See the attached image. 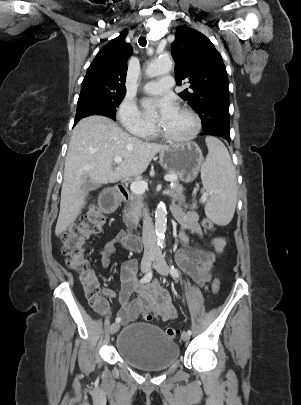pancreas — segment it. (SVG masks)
Masks as SVG:
<instances>
[{
  "label": "pancreas",
  "instance_id": "pancreas-1",
  "mask_svg": "<svg viewBox=\"0 0 301 405\" xmlns=\"http://www.w3.org/2000/svg\"><path fill=\"white\" fill-rule=\"evenodd\" d=\"M172 175H176L173 173ZM174 185L170 189V197L172 202H178L179 204H182L185 202V196L183 195V187L180 185L176 180L173 181ZM145 195L144 194H136L132 193L130 196V202L127 204L125 210H124V219L126 224H129V222H133L134 224H138L139 219L142 216V210H143V200H144ZM193 209L197 208L196 203L192 204L191 206Z\"/></svg>",
  "mask_w": 301,
  "mask_h": 405
}]
</instances>
